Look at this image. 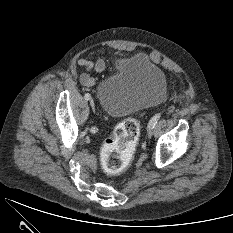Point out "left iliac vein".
I'll list each match as a JSON object with an SVG mask.
<instances>
[{
	"label": "left iliac vein",
	"mask_w": 233,
	"mask_h": 233,
	"mask_svg": "<svg viewBox=\"0 0 233 233\" xmlns=\"http://www.w3.org/2000/svg\"><path fill=\"white\" fill-rule=\"evenodd\" d=\"M148 137H151L153 135V128L148 127V133H147Z\"/></svg>",
	"instance_id": "left-iliac-vein-1"
}]
</instances>
